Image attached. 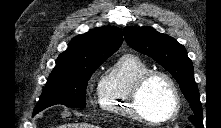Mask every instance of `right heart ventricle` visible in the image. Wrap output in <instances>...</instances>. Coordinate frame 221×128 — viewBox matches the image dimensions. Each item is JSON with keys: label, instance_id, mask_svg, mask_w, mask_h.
<instances>
[{"label": "right heart ventricle", "instance_id": "1", "mask_svg": "<svg viewBox=\"0 0 221 128\" xmlns=\"http://www.w3.org/2000/svg\"><path fill=\"white\" fill-rule=\"evenodd\" d=\"M152 68L137 54L118 57L105 71L99 84V104L107 113L134 118L129 94L135 81Z\"/></svg>", "mask_w": 221, "mask_h": 128}]
</instances>
